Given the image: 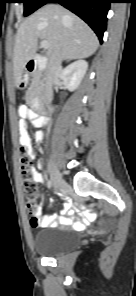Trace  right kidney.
<instances>
[{
    "mask_svg": "<svg viewBox=\"0 0 136 296\" xmlns=\"http://www.w3.org/2000/svg\"><path fill=\"white\" fill-rule=\"evenodd\" d=\"M87 70L88 63L85 60H78L62 70L60 78L69 91H74L81 84Z\"/></svg>",
    "mask_w": 136,
    "mask_h": 296,
    "instance_id": "ca27d5eb",
    "label": "right kidney"
}]
</instances>
